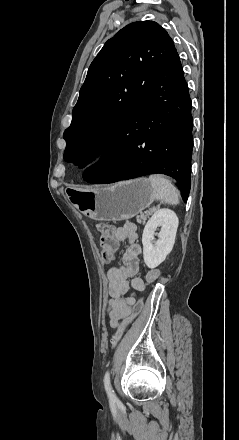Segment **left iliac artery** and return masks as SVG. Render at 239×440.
Here are the masks:
<instances>
[{
  "label": "left iliac artery",
  "mask_w": 239,
  "mask_h": 440,
  "mask_svg": "<svg viewBox=\"0 0 239 440\" xmlns=\"http://www.w3.org/2000/svg\"><path fill=\"white\" fill-rule=\"evenodd\" d=\"M104 386H105V390L107 392V395L109 397L110 402L115 403L117 401V397H116L114 390L112 389V386H111L109 371H107L104 376Z\"/></svg>",
  "instance_id": "1"
}]
</instances>
